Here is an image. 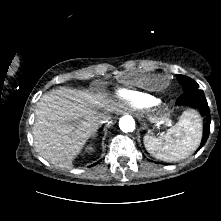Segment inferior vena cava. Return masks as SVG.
Masks as SVG:
<instances>
[{"mask_svg":"<svg viewBox=\"0 0 221 221\" xmlns=\"http://www.w3.org/2000/svg\"><path fill=\"white\" fill-rule=\"evenodd\" d=\"M111 119V116L107 113H102L100 116H99V123L103 124V123H106L108 122L109 120Z\"/></svg>","mask_w":221,"mask_h":221,"instance_id":"1","label":"inferior vena cava"}]
</instances>
